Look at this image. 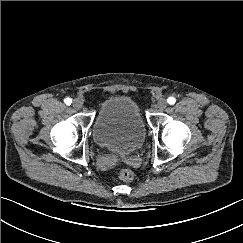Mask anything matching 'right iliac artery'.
I'll return each instance as SVG.
<instances>
[{"instance_id":"obj_1","label":"right iliac artery","mask_w":243,"mask_h":243,"mask_svg":"<svg viewBox=\"0 0 243 243\" xmlns=\"http://www.w3.org/2000/svg\"><path fill=\"white\" fill-rule=\"evenodd\" d=\"M64 102H65L66 105H70L72 103V99L71 98H66L64 100Z\"/></svg>"}]
</instances>
